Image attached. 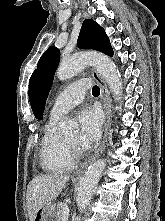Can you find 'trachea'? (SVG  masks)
<instances>
[{
  "mask_svg": "<svg viewBox=\"0 0 165 221\" xmlns=\"http://www.w3.org/2000/svg\"><path fill=\"white\" fill-rule=\"evenodd\" d=\"M92 94L93 95H99L100 94V88L98 86H94L92 88Z\"/></svg>",
  "mask_w": 165,
  "mask_h": 221,
  "instance_id": "obj_1",
  "label": "trachea"
}]
</instances>
